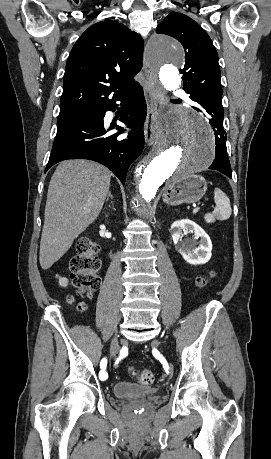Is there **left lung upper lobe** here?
I'll use <instances>...</instances> for the list:
<instances>
[{"label": "left lung upper lobe", "mask_w": 271, "mask_h": 459, "mask_svg": "<svg viewBox=\"0 0 271 459\" xmlns=\"http://www.w3.org/2000/svg\"><path fill=\"white\" fill-rule=\"evenodd\" d=\"M158 34L176 38L185 50L183 89L190 96L208 94L207 106L223 110L218 54L208 34L188 16L171 12L157 27Z\"/></svg>", "instance_id": "5c2ea615"}]
</instances>
